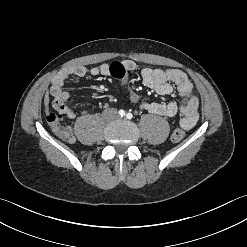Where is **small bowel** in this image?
<instances>
[{"mask_svg":"<svg viewBox=\"0 0 247 247\" xmlns=\"http://www.w3.org/2000/svg\"><path fill=\"white\" fill-rule=\"evenodd\" d=\"M124 69L133 71L136 69V64L133 61L125 60L120 62ZM111 65L104 63L90 69L84 66L68 67L58 75H56L51 84L50 94L53 97L52 105L59 113L68 119H74L77 114L68 105L69 93L64 89L65 82L70 77L83 78L87 75L91 76H112ZM143 84L154 90L160 95H169L173 92L174 87L177 89L182 98V104L178 105L175 102L156 103L147 101L144 105H139L141 109L149 113L165 116L169 118L180 119V124L184 129H191L198 121V106L197 97L193 94V86L187 75L179 69H158V68H143L140 72Z\"/></svg>","mask_w":247,"mask_h":247,"instance_id":"obj_1","label":"small bowel"}]
</instances>
